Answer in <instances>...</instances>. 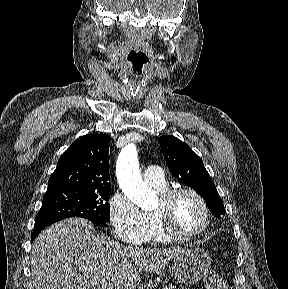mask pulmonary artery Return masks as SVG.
Masks as SVG:
<instances>
[{
  "instance_id": "obj_1",
  "label": "pulmonary artery",
  "mask_w": 288,
  "mask_h": 289,
  "mask_svg": "<svg viewBox=\"0 0 288 289\" xmlns=\"http://www.w3.org/2000/svg\"><path fill=\"white\" fill-rule=\"evenodd\" d=\"M145 182L155 188L166 187L165 175L163 170L158 166H148L143 171Z\"/></svg>"
}]
</instances>
